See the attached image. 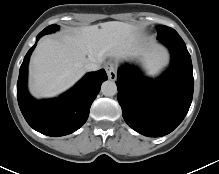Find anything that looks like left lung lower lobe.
Listing matches in <instances>:
<instances>
[{
  "label": "left lung lower lobe",
  "mask_w": 219,
  "mask_h": 174,
  "mask_svg": "<svg viewBox=\"0 0 219 174\" xmlns=\"http://www.w3.org/2000/svg\"><path fill=\"white\" fill-rule=\"evenodd\" d=\"M171 52V67L151 80L130 66L119 68L118 102L126 123L138 133L160 137L172 132L186 116L193 97L190 54L181 37L160 40Z\"/></svg>",
  "instance_id": "0a47b994"
}]
</instances>
